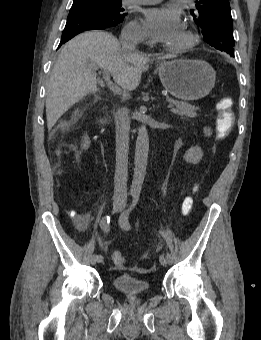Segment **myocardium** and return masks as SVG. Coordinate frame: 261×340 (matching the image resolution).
<instances>
[{
    "label": "myocardium",
    "instance_id": "f54148a6",
    "mask_svg": "<svg viewBox=\"0 0 261 340\" xmlns=\"http://www.w3.org/2000/svg\"><path fill=\"white\" fill-rule=\"evenodd\" d=\"M184 40L176 45H169L168 49L173 52H183L191 49L197 42V37L193 31L188 28H183Z\"/></svg>",
    "mask_w": 261,
    "mask_h": 340
}]
</instances>
